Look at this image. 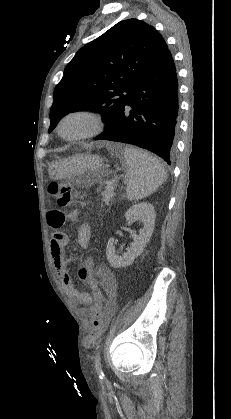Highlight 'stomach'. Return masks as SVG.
<instances>
[{"instance_id": "0dacf381", "label": "stomach", "mask_w": 231, "mask_h": 419, "mask_svg": "<svg viewBox=\"0 0 231 419\" xmlns=\"http://www.w3.org/2000/svg\"><path fill=\"white\" fill-rule=\"evenodd\" d=\"M103 168V159L100 156L76 154L52 162L48 172L52 179L70 180L83 187L101 180Z\"/></svg>"}]
</instances>
